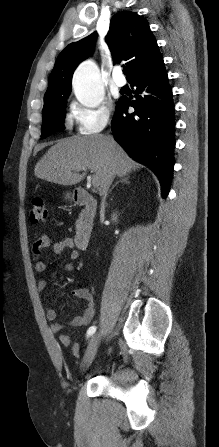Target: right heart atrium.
Masks as SVG:
<instances>
[{
    "mask_svg": "<svg viewBox=\"0 0 219 447\" xmlns=\"http://www.w3.org/2000/svg\"><path fill=\"white\" fill-rule=\"evenodd\" d=\"M93 109H79L76 114L78 128L81 134L91 135L101 132L112 118L113 108L109 103H104L100 98L95 101Z\"/></svg>",
    "mask_w": 219,
    "mask_h": 447,
    "instance_id": "1",
    "label": "right heart atrium"
}]
</instances>
